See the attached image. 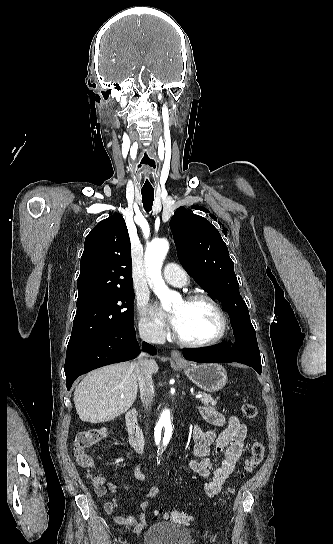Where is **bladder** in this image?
<instances>
[{"mask_svg": "<svg viewBox=\"0 0 333 544\" xmlns=\"http://www.w3.org/2000/svg\"><path fill=\"white\" fill-rule=\"evenodd\" d=\"M142 544H193L188 529L173 523L158 522L143 534Z\"/></svg>", "mask_w": 333, "mask_h": 544, "instance_id": "bladder-1", "label": "bladder"}]
</instances>
